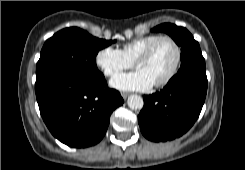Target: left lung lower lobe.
<instances>
[{"instance_id":"1","label":"left lung lower lobe","mask_w":245,"mask_h":170,"mask_svg":"<svg viewBox=\"0 0 245 170\" xmlns=\"http://www.w3.org/2000/svg\"><path fill=\"white\" fill-rule=\"evenodd\" d=\"M206 92V70L180 69L160 92L144 96L138 116L142 134L155 142L182 136L197 120Z\"/></svg>"}]
</instances>
